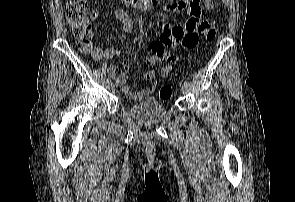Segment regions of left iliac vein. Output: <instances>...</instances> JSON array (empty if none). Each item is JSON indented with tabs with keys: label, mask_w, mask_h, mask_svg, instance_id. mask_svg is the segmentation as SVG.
I'll return each mask as SVG.
<instances>
[{
	"label": "left iliac vein",
	"mask_w": 295,
	"mask_h": 202,
	"mask_svg": "<svg viewBox=\"0 0 295 202\" xmlns=\"http://www.w3.org/2000/svg\"><path fill=\"white\" fill-rule=\"evenodd\" d=\"M181 91L183 94H187L189 92V86L186 84H183L181 87Z\"/></svg>",
	"instance_id": "1"
}]
</instances>
